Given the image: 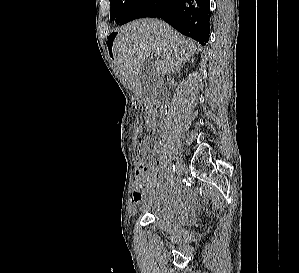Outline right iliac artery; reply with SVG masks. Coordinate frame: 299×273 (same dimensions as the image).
<instances>
[{
    "instance_id": "1",
    "label": "right iliac artery",
    "mask_w": 299,
    "mask_h": 273,
    "mask_svg": "<svg viewBox=\"0 0 299 273\" xmlns=\"http://www.w3.org/2000/svg\"><path fill=\"white\" fill-rule=\"evenodd\" d=\"M174 171H175V165L172 164V165H170V167H169V172L172 174Z\"/></svg>"
}]
</instances>
